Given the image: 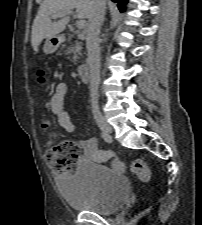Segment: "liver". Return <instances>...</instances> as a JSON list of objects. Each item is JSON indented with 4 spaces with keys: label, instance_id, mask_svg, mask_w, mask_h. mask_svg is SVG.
I'll return each instance as SVG.
<instances>
[{
    "label": "liver",
    "instance_id": "1",
    "mask_svg": "<svg viewBox=\"0 0 202 225\" xmlns=\"http://www.w3.org/2000/svg\"><path fill=\"white\" fill-rule=\"evenodd\" d=\"M94 4L95 0H44L40 4L32 25L31 46L34 51H38L43 39L61 33L69 22V17L66 15L62 19L52 22V15L66 14L72 9H76L78 18L89 19L94 11Z\"/></svg>",
    "mask_w": 202,
    "mask_h": 225
}]
</instances>
